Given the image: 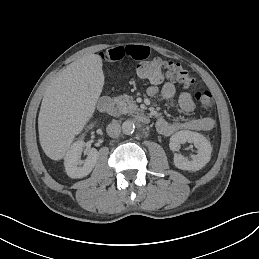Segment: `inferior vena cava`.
<instances>
[{
  "label": "inferior vena cava",
  "mask_w": 259,
  "mask_h": 259,
  "mask_svg": "<svg viewBox=\"0 0 259 259\" xmlns=\"http://www.w3.org/2000/svg\"><path fill=\"white\" fill-rule=\"evenodd\" d=\"M107 134L112 138H117L121 132V126L117 121H112L106 128Z\"/></svg>",
  "instance_id": "obj_1"
}]
</instances>
